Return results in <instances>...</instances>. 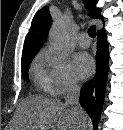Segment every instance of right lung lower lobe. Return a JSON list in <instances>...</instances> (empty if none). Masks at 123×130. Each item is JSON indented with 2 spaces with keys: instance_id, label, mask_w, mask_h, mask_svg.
Instances as JSON below:
<instances>
[{
  "instance_id": "1",
  "label": "right lung lower lobe",
  "mask_w": 123,
  "mask_h": 130,
  "mask_svg": "<svg viewBox=\"0 0 123 130\" xmlns=\"http://www.w3.org/2000/svg\"><path fill=\"white\" fill-rule=\"evenodd\" d=\"M98 51L96 54L97 72L92 80L83 84L80 103L92 119L94 128L99 123L104 102L105 87L108 74V43L104 29L98 31Z\"/></svg>"
}]
</instances>
